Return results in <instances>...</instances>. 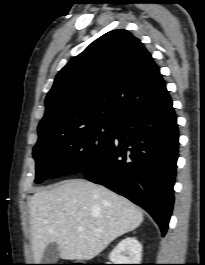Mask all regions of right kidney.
Instances as JSON below:
<instances>
[{
    "label": "right kidney",
    "instance_id": "1",
    "mask_svg": "<svg viewBox=\"0 0 205 265\" xmlns=\"http://www.w3.org/2000/svg\"><path fill=\"white\" fill-rule=\"evenodd\" d=\"M141 256V243L134 237H127L112 250L109 259L113 264H140Z\"/></svg>",
    "mask_w": 205,
    "mask_h": 265
}]
</instances>
